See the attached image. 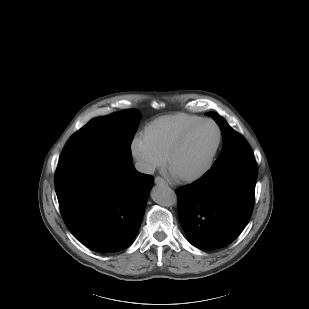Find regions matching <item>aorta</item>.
Segmentation results:
<instances>
[{"label": "aorta", "instance_id": "aorta-1", "mask_svg": "<svg viewBox=\"0 0 309 309\" xmlns=\"http://www.w3.org/2000/svg\"><path fill=\"white\" fill-rule=\"evenodd\" d=\"M152 200L165 207L173 206L177 203L175 192L166 184L156 185L151 190Z\"/></svg>", "mask_w": 309, "mask_h": 309}]
</instances>
